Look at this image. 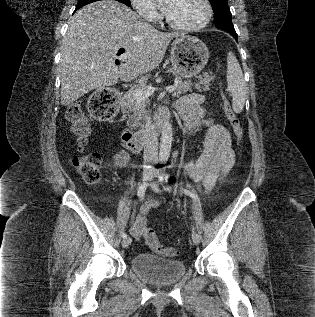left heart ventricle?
<instances>
[{
    "instance_id": "1",
    "label": "left heart ventricle",
    "mask_w": 315,
    "mask_h": 317,
    "mask_svg": "<svg viewBox=\"0 0 315 317\" xmlns=\"http://www.w3.org/2000/svg\"><path fill=\"white\" fill-rule=\"evenodd\" d=\"M167 15L181 25H195L205 17L202 0H166Z\"/></svg>"
}]
</instances>
